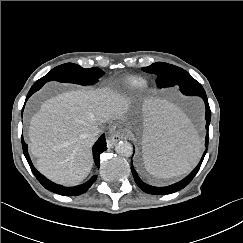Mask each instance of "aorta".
Returning a JSON list of instances; mask_svg holds the SVG:
<instances>
[{"instance_id": "762f6f07", "label": "aorta", "mask_w": 243, "mask_h": 243, "mask_svg": "<svg viewBox=\"0 0 243 243\" xmlns=\"http://www.w3.org/2000/svg\"><path fill=\"white\" fill-rule=\"evenodd\" d=\"M115 151L121 156L130 157L133 153V147L127 141H120L115 146Z\"/></svg>"}]
</instances>
